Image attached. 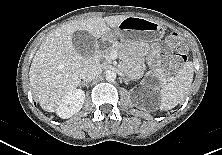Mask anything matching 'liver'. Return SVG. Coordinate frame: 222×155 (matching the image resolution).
<instances>
[{
	"instance_id": "6515ba94",
	"label": "liver",
	"mask_w": 222,
	"mask_h": 155,
	"mask_svg": "<svg viewBox=\"0 0 222 155\" xmlns=\"http://www.w3.org/2000/svg\"><path fill=\"white\" fill-rule=\"evenodd\" d=\"M128 16L93 17L74 21L52 31L40 45L29 71L32 90L41 108L54 112L58 103L81 82L83 69L92 64L73 46L72 34L87 31L99 39Z\"/></svg>"
}]
</instances>
